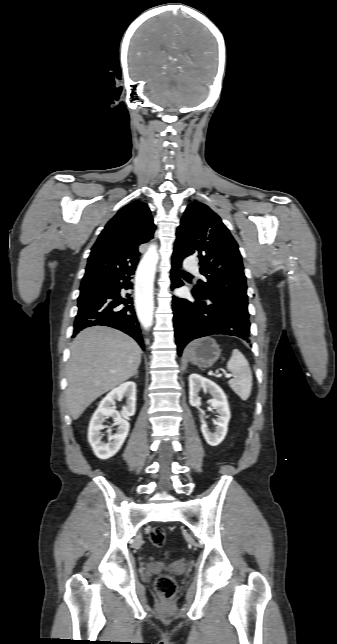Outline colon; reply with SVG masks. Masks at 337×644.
<instances>
[{"instance_id":"5ec220e1","label":"colon","mask_w":337,"mask_h":644,"mask_svg":"<svg viewBox=\"0 0 337 644\" xmlns=\"http://www.w3.org/2000/svg\"><path fill=\"white\" fill-rule=\"evenodd\" d=\"M149 541L152 546L160 547L165 542V531L161 527H155L149 534ZM156 589L163 603H169L176 591V583L174 579L162 574L156 579Z\"/></svg>"}]
</instances>
